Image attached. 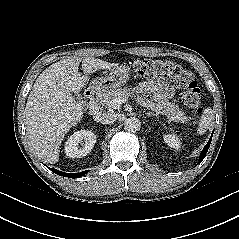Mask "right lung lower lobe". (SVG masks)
<instances>
[{
    "label": "right lung lower lobe",
    "mask_w": 239,
    "mask_h": 239,
    "mask_svg": "<svg viewBox=\"0 0 239 239\" xmlns=\"http://www.w3.org/2000/svg\"><path fill=\"white\" fill-rule=\"evenodd\" d=\"M51 171H53L54 173L60 175V176H64V177H69V178H79L83 175H85L88 171H83V172H80V173H64V172H61L57 169H51Z\"/></svg>",
    "instance_id": "obj_1"
}]
</instances>
